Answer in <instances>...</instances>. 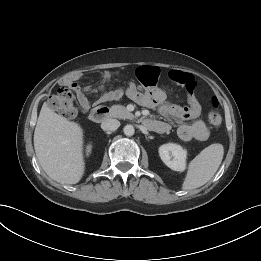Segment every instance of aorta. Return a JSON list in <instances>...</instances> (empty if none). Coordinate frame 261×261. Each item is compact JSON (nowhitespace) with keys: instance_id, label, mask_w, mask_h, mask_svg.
I'll list each match as a JSON object with an SVG mask.
<instances>
[{"instance_id":"aorta-1","label":"aorta","mask_w":261,"mask_h":261,"mask_svg":"<svg viewBox=\"0 0 261 261\" xmlns=\"http://www.w3.org/2000/svg\"><path fill=\"white\" fill-rule=\"evenodd\" d=\"M123 131H124V134H125L126 136H133L134 133H135L134 127H133L132 125H130V124H129V125H126V126L124 127Z\"/></svg>"}]
</instances>
